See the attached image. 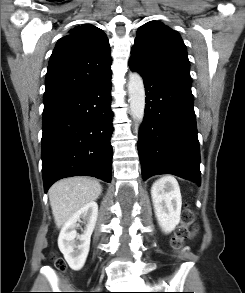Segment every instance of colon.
I'll return each instance as SVG.
<instances>
[{"instance_id": "1", "label": "colon", "mask_w": 245, "mask_h": 293, "mask_svg": "<svg viewBox=\"0 0 245 293\" xmlns=\"http://www.w3.org/2000/svg\"><path fill=\"white\" fill-rule=\"evenodd\" d=\"M193 223H194V214L190 210V208L186 205L183 216H182V223L175 230L174 237L172 239V246L174 247V249L180 250L184 244V241L186 239L191 238L194 235L196 231V226H194ZM191 226L192 228L189 229V227ZM54 258H55L56 265L58 266L63 265V261L61 259L56 258L55 256Z\"/></svg>"}]
</instances>
